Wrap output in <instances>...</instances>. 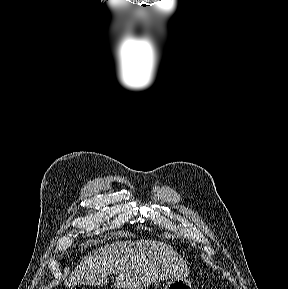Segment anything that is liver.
<instances>
[{"label":"liver","instance_id":"obj_1","mask_svg":"<svg viewBox=\"0 0 288 289\" xmlns=\"http://www.w3.org/2000/svg\"><path fill=\"white\" fill-rule=\"evenodd\" d=\"M188 267L169 245L154 240L117 241L93 250L65 281L76 285H107L116 275L115 287L143 289L152 283L181 278Z\"/></svg>","mask_w":288,"mask_h":289}]
</instances>
